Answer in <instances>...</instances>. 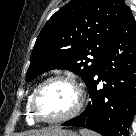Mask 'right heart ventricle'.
I'll return each mask as SVG.
<instances>
[{
	"mask_svg": "<svg viewBox=\"0 0 136 136\" xmlns=\"http://www.w3.org/2000/svg\"><path fill=\"white\" fill-rule=\"evenodd\" d=\"M31 96H32V93L28 96L27 101H26V118H27V121L32 124V123L35 122V120L32 117L30 109H29V104H30Z\"/></svg>",
	"mask_w": 136,
	"mask_h": 136,
	"instance_id": "1",
	"label": "right heart ventricle"
}]
</instances>
